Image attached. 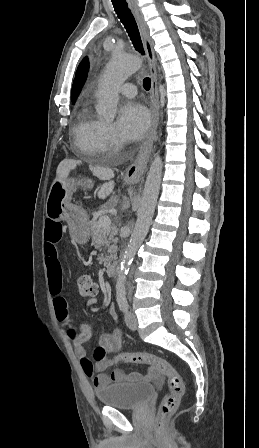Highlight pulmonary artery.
I'll return each mask as SVG.
<instances>
[{
  "mask_svg": "<svg viewBox=\"0 0 259 448\" xmlns=\"http://www.w3.org/2000/svg\"><path fill=\"white\" fill-rule=\"evenodd\" d=\"M138 63L139 56L133 53L125 54L122 59L116 61V68L122 81L137 70ZM117 92L130 97L136 94V90L131 84L118 86Z\"/></svg>",
  "mask_w": 259,
  "mask_h": 448,
  "instance_id": "pulmonary-artery-1",
  "label": "pulmonary artery"
}]
</instances>
